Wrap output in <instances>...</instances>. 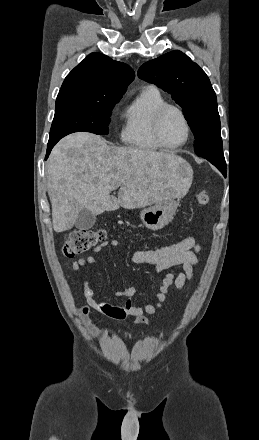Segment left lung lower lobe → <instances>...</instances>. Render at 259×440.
<instances>
[{
	"label": "left lung lower lobe",
	"instance_id": "left-lung-lower-lobe-1",
	"mask_svg": "<svg viewBox=\"0 0 259 440\" xmlns=\"http://www.w3.org/2000/svg\"><path fill=\"white\" fill-rule=\"evenodd\" d=\"M210 162L215 165L224 176H226V162L225 159L222 160H210Z\"/></svg>",
	"mask_w": 259,
	"mask_h": 440
}]
</instances>
